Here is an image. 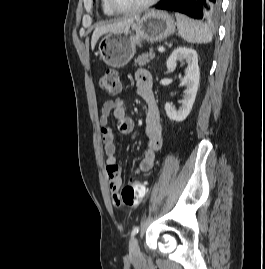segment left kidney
Returning a JSON list of instances; mask_svg holds the SVG:
<instances>
[{"instance_id":"obj_1","label":"left kidney","mask_w":265,"mask_h":269,"mask_svg":"<svg viewBox=\"0 0 265 269\" xmlns=\"http://www.w3.org/2000/svg\"><path fill=\"white\" fill-rule=\"evenodd\" d=\"M177 61H185L187 69L181 82L186 87L182 106L176 110L170 103L165 104V111L172 121L181 122L187 118L195 102L199 87L200 71L198 66V55L194 49L187 47L176 48L169 56L166 65L168 69H174Z\"/></svg>"}]
</instances>
